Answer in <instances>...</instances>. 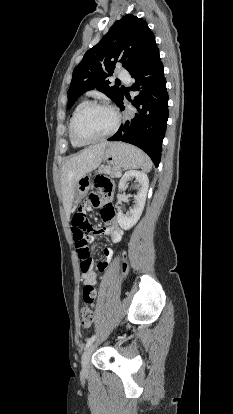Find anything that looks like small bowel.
Listing matches in <instances>:
<instances>
[{"instance_id":"c3829d8e","label":"small bowel","mask_w":233,"mask_h":414,"mask_svg":"<svg viewBox=\"0 0 233 414\" xmlns=\"http://www.w3.org/2000/svg\"><path fill=\"white\" fill-rule=\"evenodd\" d=\"M110 195L111 193L105 194L102 191H99L98 194L94 195L91 198V204L88 205V209L91 206H96L101 201V199L108 198ZM104 208H106V210H104ZM104 208L101 211V217L104 221V226L97 229L96 233L106 234L110 237V239L114 243H117L122 238V234H123L122 229L118 225L113 207L110 204H107L104 206ZM73 235H74V228H73ZM112 255H113V251L111 249L105 248L103 250L104 260L98 264L99 271L105 270L107 266V262L112 258ZM82 277H83L84 286L86 285H91L93 287L95 286L96 274L93 270V267L88 271H82Z\"/></svg>"}]
</instances>
